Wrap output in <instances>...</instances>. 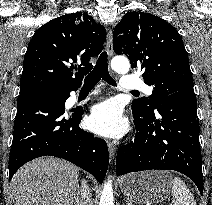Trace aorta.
I'll return each instance as SVG.
<instances>
[{
  "label": "aorta",
  "mask_w": 212,
  "mask_h": 205,
  "mask_svg": "<svg viewBox=\"0 0 212 205\" xmlns=\"http://www.w3.org/2000/svg\"><path fill=\"white\" fill-rule=\"evenodd\" d=\"M111 67L114 71L124 74L129 71L130 62L124 56H116L111 60ZM99 205H114L112 181L110 179L104 184Z\"/></svg>",
  "instance_id": "aorta-1"
}]
</instances>
